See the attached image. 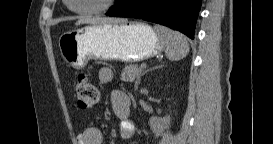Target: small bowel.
<instances>
[{"label":"small bowel","instance_id":"1","mask_svg":"<svg viewBox=\"0 0 273 144\" xmlns=\"http://www.w3.org/2000/svg\"><path fill=\"white\" fill-rule=\"evenodd\" d=\"M98 79L102 84H108L113 80V72L111 69H101ZM113 111L120 121V137L128 141L132 139L136 131V126L130 118V100L129 97L121 91L112 93ZM103 134L97 127H86L76 137V144H101Z\"/></svg>","mask_w":273,"mask_h":144}]
</instances>
